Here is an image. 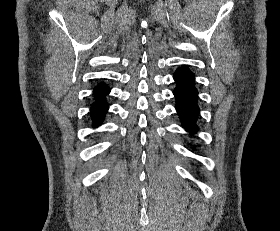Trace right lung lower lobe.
<instances>
[{"instance_id": "98d812e1", "label": "right lung lower lobe", "mask_w": 280, "mask_h": 231, "mask_svg": "<svg viewBox=\"0 0 280 231\" xmlns=\"http://www.w3.org/2000/svg\"><path fill=\"white\" fill-rule=\"evenodd\" d=\"M110 89L94 93L96 101L91 104L90 116L95 126H98L104 120L105 114L108 110V104L104 100Z\"/></svg>"}]
</instances>
